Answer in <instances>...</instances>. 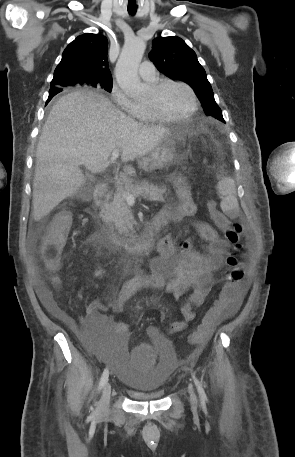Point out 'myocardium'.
Instances as JSON below:
<instances>
[{
	"mask_svg": "<svg viewBox=\"0 0 295 457\" xmlns=\"http://www.w3.org/2000/svg\"><path fill=\"white\" fill-rule=\"evenodd\" d=\"M169 85L181 86L189 92V94L191 96V100H192V106H191L190 110L186 114L179 116V117H166V116L162 115L154 105L146 104L145 107H146L147 111L154 118V120L161 122V123H180V122H184V121L190 119L192 116H194L196 114L198 107H199L198 97H197L194 89L183 81L172 80V79H162V80L158 81L157 83L153 84L152 89L155 92H160L162 89H164L166 86H169Z\"/></svg>",
	"mask_w": 295,
	"mask_h": 457,
	"instance_id": "obj_1",
	"label": "myocardium"
}]
</instances>
